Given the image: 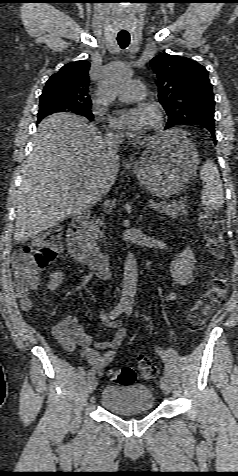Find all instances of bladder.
I'll use <instances>...</instances> for the list:
<instances>
[{
  "label": "bladder",
  "mask_w": 238,
  "mask_h": 476,
  "mask_svg": "<svg viewBox=\"0 0 238 476\" xmlns=\"http://www.w3.org/2000/svg\"><path fill=\"white\" fill-rule=\"evenodd\" d=\"M100 405L114 415L131 416L151 411L154 397L143 384H111L102 390Z\"/></svg>",
  "instance_id": "1"
}]
</instances>
